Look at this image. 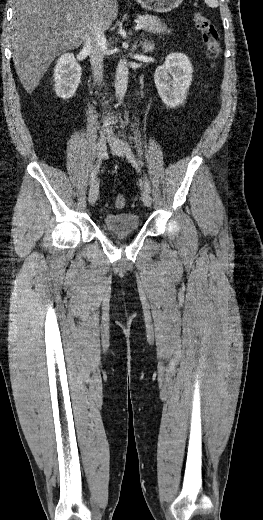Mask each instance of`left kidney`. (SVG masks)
Instances as JSON below:
<instances>
[{
	"mask_svg": "<svg viewBox=\"0 0 263 520\" xmlns=\"http://www.w3.org/2000/svg\"><path fill=\"white\" fill-rule=\"evenodd\" d=\"M192 64L186 55L171 53L163 66L154 74L158 93L169 108H176L186 99V93L192 81Z\"/></svg>",
	"mask_w": 263,
	"mask_h": 520,
	"instance_id": "obj_1",
	"label": "left kidney"
}]
</instances>
